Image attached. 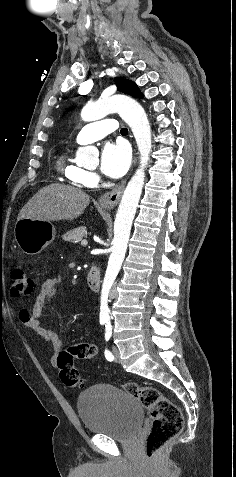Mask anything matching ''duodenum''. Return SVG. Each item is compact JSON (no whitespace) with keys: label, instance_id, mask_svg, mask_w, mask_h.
<instances>
[{"label":"duodenum","instance_id":"duodenum-1","mask_svg":"<svg viewBox=\"0 0 236 477\" xmlns=\"http://www.w3.org/2000/svg\"><path fill=\"white\" fill-rule=\"evenodd\" d=\"M87 284L92 292L98 293L100 291L101 274L96 265H93L87 274Z\"/></svg>","mask_w":236,"mask_h":477}]
</instances>
